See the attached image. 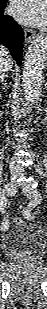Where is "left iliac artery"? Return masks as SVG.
<instances>
[{
  "label": "left iliac artery",
  "instance_id": "1",
  "mask_svg": "<svg viewBox=\"0 0 47 309\" xmlns=\"http://www.w3.org/2000/svg\"><path fill=\"white\" fill-rule=\"evenodd\" d=\"M36 167V170L38 171V172H40V173H42L41 172V169L39 168V166L37 165V166H35Z\"/></svg>",
  "mask_w": 47,
  "mask_h": 309
}]
</instances>
